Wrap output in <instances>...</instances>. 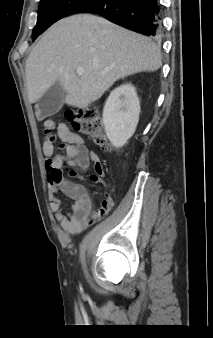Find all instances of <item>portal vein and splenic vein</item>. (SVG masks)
Instances as JSON below:
<instances>
[{
    "instance_id": "1",
    "label": "portal vein and splenic vein",
    "mask_w": 213,
    "mask_h": 338,
    "mask_svg": "<svg viewBox=\"0 0 213 338\" xmlns=\"http://www.w3.org/2000/svg\"><path fill=\"white\" fill-rule=\"evenodd\" d=\"M76 72H77L78 75H83L84 70H83L82 67H77Z\"/></svg>"
}]
</instances>
